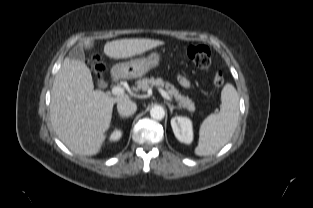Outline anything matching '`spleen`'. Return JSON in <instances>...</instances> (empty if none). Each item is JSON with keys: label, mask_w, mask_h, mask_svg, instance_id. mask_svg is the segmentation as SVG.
Masks as SVG:
<instances>
[{"label": "spleen", "mask_w": 313, "mask_h": 208, "mask_svg": "<svg viewBox=\"0 0 313 208\" xmlns=\"http://www.w3.org/2000/svg\"><path fill=\"white\" fill-rule=\"evenodd\" d=\"M219 113L210 114L201 124L199 142L195 148L198 156H208L219 151L232 138L239 119V96L235 87L227 83L221 92Z\"/></svg>", "instance_id": "obj_1"}]
</instances>
